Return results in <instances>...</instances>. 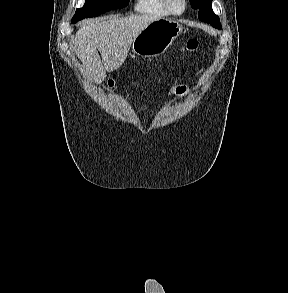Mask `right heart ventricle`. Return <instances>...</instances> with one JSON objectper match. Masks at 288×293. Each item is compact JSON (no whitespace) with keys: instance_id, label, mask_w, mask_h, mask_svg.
<instances>
[{"instance_id":"1","label":"right heart ventricle","mask_w":288,"mask_h":293,"mask_svg":"<svg viewBox=\"0 0 288 293\" xmlns=\"http://www.w3.org/2000/svg\"><path fill=\"white\" fill-rule=\"evenodd\" d=\"M135 10L140 13L168 16L171 13L166 9L162 0H136Z\"/></svg>"}]
</instances>
